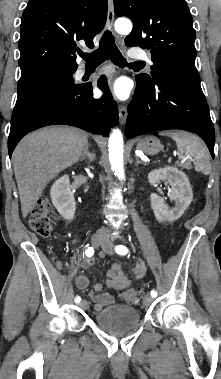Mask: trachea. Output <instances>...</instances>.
Masks as SVG:
<instances>
[{
    "label": "trachea",
    "instance_id": "trachea-1",
    "mask_svg": "<svg viewBox=\"0 0 221 379\" xmlns=\"http://www.w3.org/2000/svg\"><path fill=\"white\" fill-rule=\"evenodd\" d=\"M81 57L86 61L87 65H100L107 58H110V60L119 67H125L127 65L126 59L117 48L114 37L109 31L103 34L97 50L90 54H81ZM137 64H143V62L137 61L129 65Z\"/></svg>",
    "mask_w": 221,
    "mask_h": 379
}]
</instances>
